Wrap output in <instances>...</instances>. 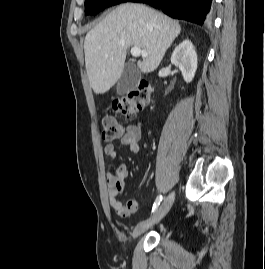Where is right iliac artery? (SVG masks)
Listing matches in <instances>:
<instances>
[{"instance_id": "obj_1", "label": "right iliac artery", "mask_w": 265, "mask_h": 269, "mask_svg": "<svg viewBox=\"0 0 265 269\" xmlns=\"http://www.w3.org/2000/svg\"><path fill=\"white\" fill-rule=\"evenodd\" d=\"M161 201H162V195L157 196V198H156V200H155V202H154V204H153L152 213H153L155 210H157V208H158V206L160 205Z\"/></svg>"}]
</instances>
